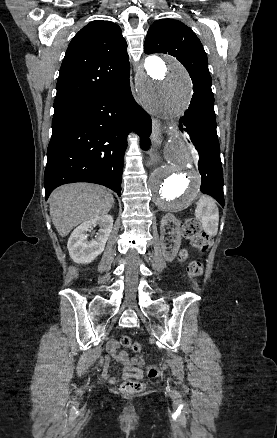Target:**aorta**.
<instances>
[{"instance_id":"obj_1","label":"aorta","mask_w":277,"mask_h":438,"mask_svg":"<svg viewBox=\"0 0 277 438\" xmlns=\"http://www.w3.org/2000/svg\"><path fill=\"white\" fill-rule=\"evenodd\" d=\"M190 79L184 67L171 57L149 56L136 74L140 104L151 115L163 120V130L171 133L188 107ZM165 163L149 178L154 204L161 210L177 212L196 197L201 179L190 145L170 138L164 146Z\"/></svg>"}]
</instances>
